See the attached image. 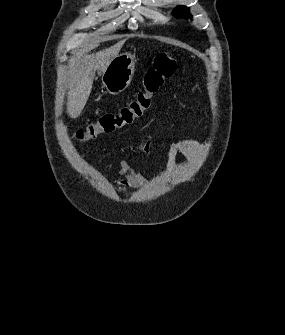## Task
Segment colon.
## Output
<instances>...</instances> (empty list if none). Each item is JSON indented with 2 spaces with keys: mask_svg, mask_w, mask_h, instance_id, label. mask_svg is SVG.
I'll return each mask as SVG.
<instances>
[{
  "mask_svg": "<svg viewBox=\"0 0 285 335\" xmlns=\"http://www.w3.org/2000/svg\"><path fill=\"white\" fill-rule=\"evenodd\" d=\"M177 69V60L168 53H159L147 69L143 88L124 107L114 113L102 115L96 122L88 124L75 134L80 142L93 140L100 134L111 133L140 118L150 107L152 98L170 79Z\"/></svg>",
  "mask_w": 285,
  "mask_h": 335,
  "instance_id": "5ec220e1",
  "label": "colon"
}]
</instances>
